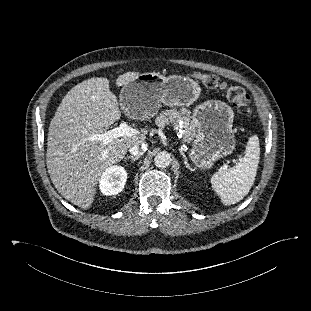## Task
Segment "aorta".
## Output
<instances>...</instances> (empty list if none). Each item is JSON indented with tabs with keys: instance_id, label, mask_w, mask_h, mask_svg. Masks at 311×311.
Returning <instances> with one entry per match:
<instances>
[{
	"instance_id": "aorta-1",
	"label": "aorta",
	"mask_w": 311,
	"mask_h": 311,
	"mask_svg": "<svg viewBox=\"0 0 311 311\" xmlns=\"http://www.w3.org/2000/svg\"><path fill=\"white\" fill-rule=\"evenodd\" d=\"M154 162L157 167L166 168L171 163V155L166 151H161L155 156Z\"/></svg>"
}]
</instances>
